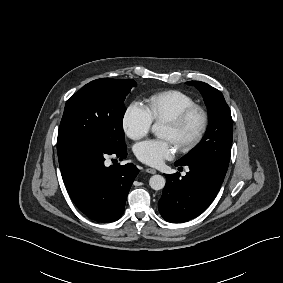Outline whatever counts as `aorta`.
I'll return each mask as SVG.
<instances>
[{
  "label": "aorta",
  "instance_id": "aorta-1",
  "mask_svg": "<svg viewBox=\"0 0 283 283\" xmlns=\"http://www.w3.org/2000/svg\"><path fill=\"white\" fill-rule=\"evenodd\" d=\"M160 128H161L160 125L155 123L152 125L151 130L156 136H160ZM165 183H166V180L161 175H153L149 180V185L154 190L163 189L165 186Z\"/></svg>",
  "mask_w": 283,
  "mask_h": 283
}]
</instances>
